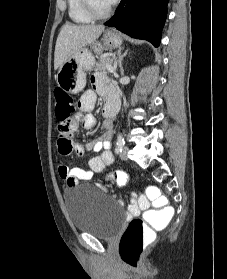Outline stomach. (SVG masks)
Masks as SVG:
<instances>
[{"label":"stomach","instance_id":"1","mask_svg":"<svg viewBox=\"0 0 227 279\" xmlns=\"http://www.w3.org/2000/svg\"><path fill=\"white\" fill-rule=\"evenodd\" d=\"M122 44L121 37L114 31L104 32L100 41L92 43L90 48L84 46L65 63H63L55 76L58 86L66 93L77 94L82 91L86 85V72L90 71L95 64L96 54H101L104 49L118 48Z\"/></svg>","mask_w":227,"mask_h":279}]
</instances>
